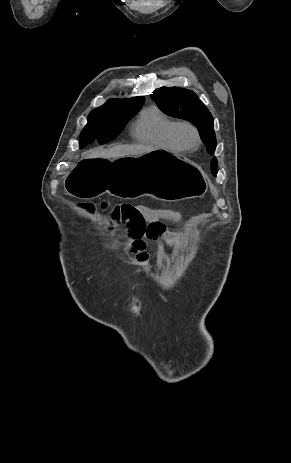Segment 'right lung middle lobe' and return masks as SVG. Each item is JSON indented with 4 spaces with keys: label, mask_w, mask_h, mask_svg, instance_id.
Returning <instances> with one entry per match:
<instances>
[{
    "label": "right lung middle lobe",
    "mask_w": 291,
    "mask_h": 463,
    "mask_svg": "<svg viewBox=\"0 0 291 463\" xmlns=\"http://www.w3.org/2000/svg\"><path fill=\"white\" fill-rule=\"evenodd\" d=\"M142 104H136L125 109H94L89 113L88 123L81 132L80 148L92 143L94 140H97L100 144L113 140L119 135L129 119L137 113Z\"/></svg>",
    "instance_id": "obj_1"
}]
</instances>
